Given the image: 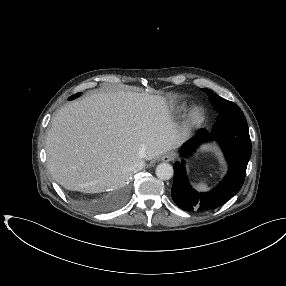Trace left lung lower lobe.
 <instances>
[{"label": "left lung lower lobe", "instance_id": "0a47b994", "mask_svg": "<svg viewBox=\"0 0 286 286\" xmlns=\"http://www.w3.org/2000/svg\"><path fill=\"white\" fill-rule=\"evenodd\" d=\"M213 139L221 146L229 164V171L224 180L210 192L198 193L189 184L184 164L176 162L171 196L183 210L206 211L218 208L232 198L243 185L251 156V140L246 120H218L210 133L206 129L199 130L183 145V155L192 151L196 145Z\"/></svg>", "mask_w": 286, "mask_h": 286}]
</instances>
